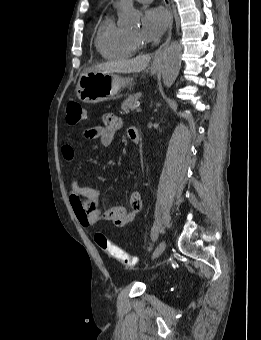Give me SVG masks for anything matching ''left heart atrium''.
Returning <instances> with one entry per match:
<instances>
[{
	"label": "left heart atrium",
	"mask_w": 261,
	"mask_h": 340,
	"mask_svg": "<svg viewBox=\"0 0 261 340\" xmlns=\"http://www.w3.org/2000/svg\"><path fill=\"white\" fill-rule=\"evenodd\" d=\"M170 22L169 12L162 6L148 8L142 17L141 38L148 43L156 42Z\"/></svg>",
	"instance_id": "1"
}]
</instances>
